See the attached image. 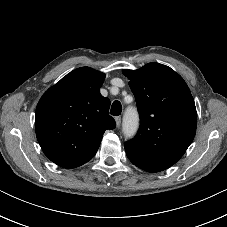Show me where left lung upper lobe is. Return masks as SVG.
<instances>
[{
  "mask_svg": "<svg viewBox=\"0 0 227 227\" xmlns=\"http://www.w3.org/2000/svg\"><path fill=\"white\" fill-rule=\"evenodd\" d=\"M134 93L141 124L125 143L129 160L148 172L174 165L194 139L197 112L185 81L173 69L148 63L138 70H123Z\"/></svg>",
  "mask_w": 227,
  "mask_h": 227,
  "instance_id": "obj_1",
  "label": "left lung upper lobe"
}]
</instances>
